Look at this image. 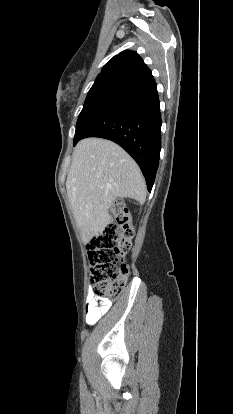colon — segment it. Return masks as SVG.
Segmentation results:
<instances>
[{"mask_svg": "<svg viewBox=\"0 0 233 414\" xmlns=\"http://www.w3.org/2000/svg\"><path fill=\"white\" fill-rule=\"evenodd\" d=\"M111 213V222L89 245V258L94 295L115 301L121 296L129 274L125 264L118 266L117 263L129 252L134 231L128 224L122 201L112 205Z\"/></svg>", "mask_w": 233, "mask_h": 414, "instance_id": "5ec220e1", "label": "colon"}]
</instances>
